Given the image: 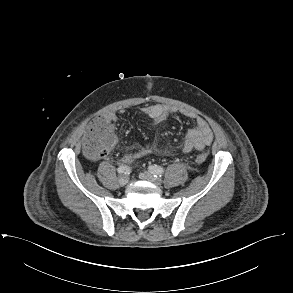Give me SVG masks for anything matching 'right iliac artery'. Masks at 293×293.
Here are the masks:
<instances>
[{"label":"right iliac artery","mask_w":293,"mask_h":293,"mask_svg":"<svg viewBox=\"0 0 293 293\" xmlns=\"http://www.w3.org/2000/svg\"><path fill=\"white\" fill-rule=\"evenodd\" d=\"M117 171L119 174L127 173L129 172V167L126 165H121L118 167Z\"/></svg>","instance_id":"obj_1"}]
</instances>
